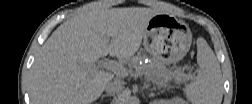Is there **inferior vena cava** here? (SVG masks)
I'll return each instance as SVG.
<instances>
[{
    "mask_svg": "<svg viewBox=\"0 0 252 104\" xmlns=\"http://www.w3.org/2000/svg\"><path fill=\"white\" fill-rule=\"evenodd\" d=\"M123 89L122 84L119 81H110L105 86V91L108 94H115L121 92Z\"/></svg>",
    "mask_w": 252,
    "mask_h": 104,
    "instance_id": "1",
    "label": "inferior vena cava"
}]
</instances>
